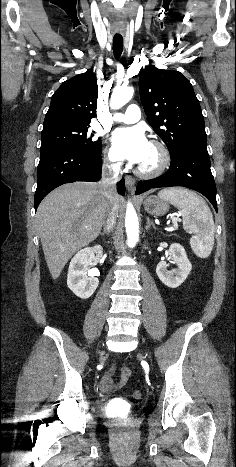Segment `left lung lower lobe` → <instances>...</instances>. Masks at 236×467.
Instances as JSON below:
<instances>
[{
    "label": "left lung lower lobe",
    "instance_id": "0a47b994",
    "mask_svg": "<svg viewBox=\"0 0 236 467\" xmlns=\"http://www.w3.org/2000/svg\"><path fill=\"white\" fill-rule=\"evenodd\" d=\"M171 186H184L200 192L209 199L217 211L216 186L210 170L206 140L185 143L174 156H171L169 170L158 178L139 181L136 194L151 188Z\"/></svg>",
    "mask_w": 236,
    "mask_h": 467
}]
</instances>
